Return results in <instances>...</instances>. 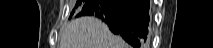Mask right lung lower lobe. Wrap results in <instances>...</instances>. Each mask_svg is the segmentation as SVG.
<instances>
[{"label": "right lung lower lobe", "instance_id": "obj_1", "mask_svg": "<svg viewBox=\"0 0 213 48\" xmlns=\"http://www.w3.org/2000/svg\"><path fill=\"white\" fill-rule=\"evenodd\" d=\"M149 0H88L79 16H96L112 33L135 48L145 46L149 23Z\"/></svg>", "mask_w": 213, "mask_h": 48}]
</instances>
